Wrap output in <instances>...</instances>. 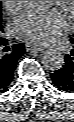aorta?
Returning a JSON list of instances; mask_svg holds the SVG:
<instances>
[{
	"label": "aorta",
	"instance_id": "obj_1",
	"mask_svg": "<svg viewBox=\"0 0 74 122\" xmlns=\"http://www.w3.org/2000/svg\"><path fill=\"white\" fill-rule=\"evenodd\" d=\"M50 1H26L25 3L32 9H41ZM42 63L46 69L59 70L65 63L64 55L55 49L46 50L42 56Z\"/></svg>",
	"mask_w": 74,
	"mask_h": 122
}]
</instances>
